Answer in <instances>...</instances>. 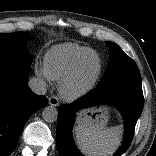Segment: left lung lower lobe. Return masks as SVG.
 Wrapping results in <instances>:
<instances>
[{
    "label": "left lung lower lobe",
    "mask_w": 156,
    "mask_h": 156,
    "mask_svg": "<svg viewBox=\"0 0 156 156\" xmlns=\"http://www.w3.org/2000/svg\"><path fill=\"white\" fill-rule=\"evenodd\" d=\"M104 102L116 105L124 113V141L114 156H120L126 151L131 144L136 122L142 113L144 98L141 84L116 82L97 86L73 103L59 107L56 144L60 156H83L72 139L75 113L82 108Z\"/></svg>",
    "instance_id": "obj_1"
}]
</instances>
